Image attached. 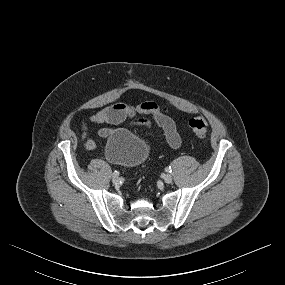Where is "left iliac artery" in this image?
<instances>
[{
    "label": "left iliac artery",
    "mask_w": 285,
    "mask_h": 285,
    "mask_svg": "<svg viewBox=\"0 0 285 285\" xmlns=\"http://www.w3.org/2000/svg\"><path fill=\"white\" fill-rule=\"evenodd\" d=\"M165 171L168 172V173H171L172 172L171 166L165 168Z\"/></svg>",
    "instance_id": "obj_1"
}]
</instances>
